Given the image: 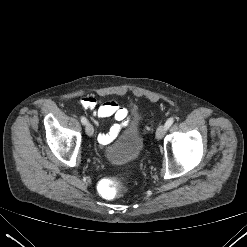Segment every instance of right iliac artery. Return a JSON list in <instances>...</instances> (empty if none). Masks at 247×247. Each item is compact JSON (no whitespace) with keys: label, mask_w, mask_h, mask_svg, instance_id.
<instances>
[{"label":"right iliac artery","mask_w":247,"mask_h":247,"mask_svg":"<svg viewBox=\"0 0 247 247\" xmlns=\"http://www.w3.org/2000/svg\"><path fill=\"white\" fill-rule=\"evenodd\" d=\"M81 123L83 125H86L87 124V119L84 116L81 117Z\"/></svg>","instance_id":"1"}]
</instances>
